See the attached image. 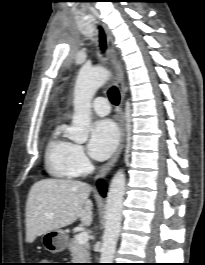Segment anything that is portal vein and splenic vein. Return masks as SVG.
Masks as SVG:
<instances>
[{"label": "portal vein and splenic vein", "instance_id": "portal-vein-and-splenic-vein-1", "mask_svg": "<svg viewBox=\"0 0 205 265\" xmlns=\"http://www.w3.org/2000/svg\"><path fill=\"white\" fill-rule=\"evenodd\" d=\"M89 234L87 232H80L77 235V240L80 244H84L88 241Z\"/></svg>", "mask_w": 205, "mask_h": 265}]
</instances>
